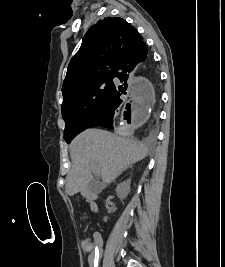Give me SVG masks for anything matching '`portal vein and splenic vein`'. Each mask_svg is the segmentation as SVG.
Masks as SVG:
<instances>
[{"instance_id": "1", "label": "portal vein and splenic vein", "mask_w": 225, "mask_h": 267, "mask_svg": "<svg viewBox=\"0 0 225 267\" xmlns=\"http://www.w3.org/2000/svg\"><path fill=\"white\" fill-rule=\"evenodd\" d=\"M91 167H92V169H93L95 172L98 171V167H97V165H96L94 162L91 163Z\"/></svg>"}]
</instances>
